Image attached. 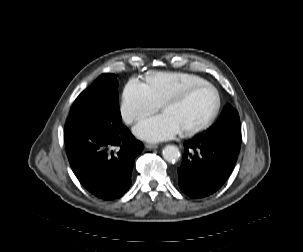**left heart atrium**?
I'll use <instances>...</instances> for the list:
<instances>
[{
    "instance_id": "1",
    "label": "left heart atrium",
    "mask_w": 303,
    "mask_h": 252,
    "mask_svg": "<svg viewBox=\"0 0 303 252\" xmlns=\"http://www.w3.org/2000/svg\"><path fill=\"white\" fill-rule=\"evenodd\" d=\"M135 132L142 139L160 141L174 138L180 129L168 113H162L141 121Z\"/></svg>"
}]
</instances>
